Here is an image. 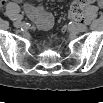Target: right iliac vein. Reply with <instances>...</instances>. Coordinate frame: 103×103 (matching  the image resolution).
I'll use <instances>...</instances> for the list:
<instances>
[{
  "mask_svg": "<svg viewBox=\"0 0 103 103\" xmlns=\"http://www.w3.org/2000/svg\"><path fill=\"white\" fill-rule=\"evenodd\" d=\"M14 25H15V27H17V28H20V27H22L24 24H23V22H21V21H16V22L14 23Z\"/></svg>",
  "mask_w": 103,
  "mask_h": 103,
  "instance_id": "63e3f726",
  "label": "right iliac vein"
}]
</instances>
